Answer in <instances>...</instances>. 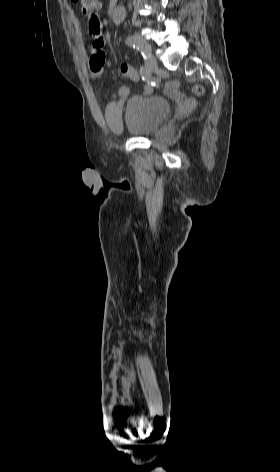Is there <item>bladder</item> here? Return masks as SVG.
Returning <instances> with one entry per match:
<instances>
[{
    "label": "bladder",
    "mask_w": 280,
    "mask_h": 472,
    "mask_svg": "<svg viewBox=\"0 0 280 472\" xmlns=\"http://www.w3.org/2000/svg\"><path fill=\"white\" fill-rule=\"evenodd\" d=\"M171 112L170 102L155 95H130L123 104L126 130L132 136H146L156 132Z\"/></svg>",
    "instance_id": "bladder-1"
}]
</instances>
